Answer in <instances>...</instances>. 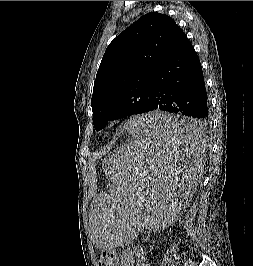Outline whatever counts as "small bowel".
Instances as JSON below:
<instances>
[{
    "instance_id": "small-bowel-1",
    "label": "small bowel",
    "mask_w": 253,
    "mask_h": 266,
    "mask_svg": "<svg viewBox=\"0 0 253 266\" xmlns=\"http://www.w3.org/2000/svg\"><path fill=\"white\" fill-rule=\"evenodd\" d=\"M119 266H149V263L144 258L141 250L136 248L134 250H124L122 252Z\"/></svg>"
}]
</instances>
